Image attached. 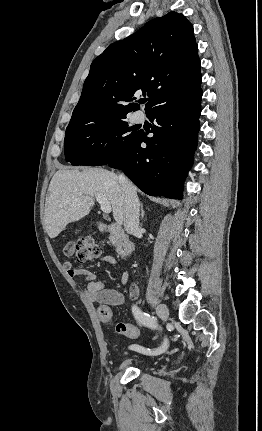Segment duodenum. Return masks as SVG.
Segmentation results:
<instances>
[{"mask_svg":"<svg viewBox=\"0 0 262 431\" xmlns=\"http://www.w3.org/2000/svg\"><path fill=\"white\" fill-rule=\"evenodd\" d=\"M101 230L104 232H108L112 235L115 241L116 251L119 255L123 257H128L132 254L133 244L128 239L121 224H103L101 225Z\"/></svg>","mask_w":262,"mask_h":431,"instance_id":"duodenum-1","label":"duodenum"}]
</instances>
